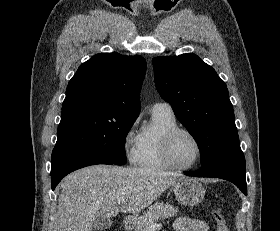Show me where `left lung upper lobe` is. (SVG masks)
<instances>
[{"label":"left lung upper lobe","mask_w":280,"mask_h":231,"mask_svg":"<svg viewBox=\"0 0 280 231\" xmlns=\"http://www.w3.org/2000/svg\"><path fill=\"white\" fill-rule=\"evenodd\" d=\"M155 85L197 142L201 166L240 148L226 84L197 55L156 57Z\"/></svg>","instance_id":"obj_1"}]
</instances>
